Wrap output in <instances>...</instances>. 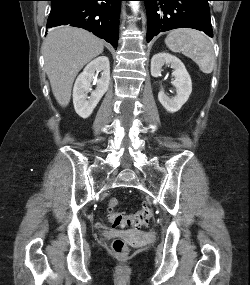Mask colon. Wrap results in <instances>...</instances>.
Masks as SVG:
<instances>
[{"label": "colon", "instance_id": "obj_1", "mask_svg": "<svg viewBox=\"0 0 250 285\" xmlns=\"http://www.w3.org/2000/svg\"><path fill=\"white\" fill-rule=\"evenodd\" d=\"M118 204L119 202L116 198L109 199L107 203L108 219L116 227L142 228L148 225L153 216V210L147 205H144L140 210L134 213L124 214L116 211ZM111 246L117 256H125L128 252V246L123 239H114Z\"/></svg>", "mask_w": 250, "mask_h": 285}]
</instances>
